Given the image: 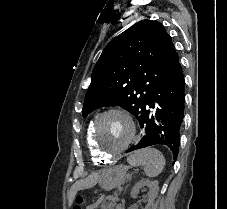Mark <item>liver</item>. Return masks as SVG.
Segmentation results:
<instances>
[{"label": "liver", "mask_w": 227, "mask_h": 209, "mask_svg": "<svg viewBox=\"0 0 227 209\" xmlns=\"http://www.w3.org/2000/svg\"><path fill=\"white\" fill-rule=\"evenodd\" d=\"M74 197H75V193H72V191H70V193H69V205H72Z\"/></svg>", "instance_id": "6515ba94"}]
</instances>
